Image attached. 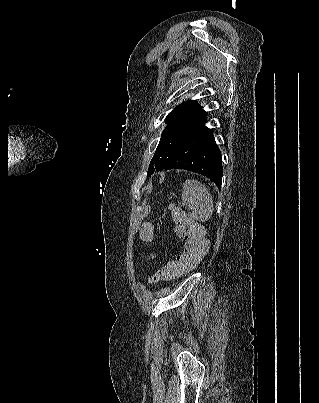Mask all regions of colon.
I'll use <instances>...</instances> for the list:
<instances>
[{
    "instance_id": "colon-1",
    "label": "colon",
    "mask_w": 319,
    "mask_h": 403,
    "mask_svg": "<svg viewBox=\"0 0 319 403\" xmlns=\"http://www.w3.org/2000/svg\"><path fill=\"white\" fill-rule=\"evenodd\" d=\"M176 223V235L183 244L181 253L176 260L159 269L149 280L155 284L160 281L172 280L193 269L208 251V241L204 237L202 227L194 220L187 218L182 212L175 211L173 215ZM142 234H139V243H156V234H153L155 222L144 219Z\"/></svg>"
}]
</instances>
